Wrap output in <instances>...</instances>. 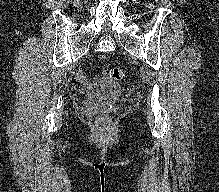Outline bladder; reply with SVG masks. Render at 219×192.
<instances>
[{
    "label": "bladder",
    "mask_w": 219,
    "mask_h": 192,
    "mask_svg": "<svg viewBox=\"0 0 219 192\" xmlns=\"http://www.w3.org/2000/svg\"><path fill=\"white\" fill-rule=\"evenodd\" d=\"M118 95V88L114 85H107L105 88H101L96 95L92 94V105H105L110 103L114 97Z\"/></svg>",
    "instance_id": "31cf9c89"
}]
</instances>
